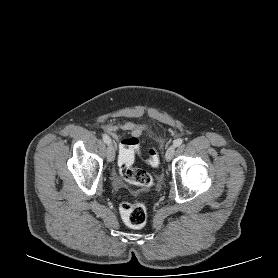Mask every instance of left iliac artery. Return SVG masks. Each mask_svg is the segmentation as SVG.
<instances>
[{"mask_svg": "<svg viewBox=\"0 0 278 278\" xmlns=\"http://www.w3.org/2000/svg\"><path fill=\"white\" fill-rule=\"evenodd\" d=\"M182 143H183V139L178 138L174 141V146L179 147L180 145H182Z\"/></svg>", "mask_w": 278, "mask_h": 278, "instance_id": "44dca946", "label": "left iliac artery"}]
</instances>
